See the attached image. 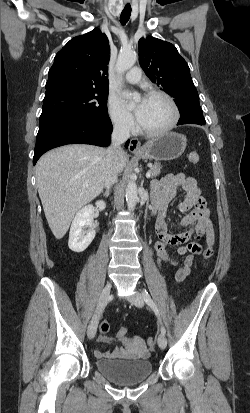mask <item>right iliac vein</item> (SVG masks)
<instances>
[{
	"label": "right iliac vein",
	"instance_id": "1",
	"mask_svg": "<svg viewBox=\"0 0 250 413\" xmlns=\"http://www.w3.org/2000/svg\"><path fill=\"white\" fill-rule=\"evenodd\" d=\"M110 293H111V285L108 283L103 291L101 292V295L98 300V305L96 309V313L93 316L92 320L89 323L88 329H87V335L89 339H93L96 335L97 331V325L99 321V317L103 309L105 308L106 304L108 303L110 299Z\"/></svg>",
	"mask_w": 250,
	"mask_h": 413
}]
</instances>
